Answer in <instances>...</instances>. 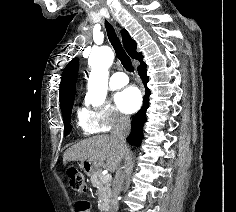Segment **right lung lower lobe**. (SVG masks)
<instances>
[{
	"instance_id": "right-lung-lower-lobe-1",
	"label": "right lung lower lobe",
	"mask_w": 236,
	"mask_h": 212,
	"mask_svg": "<svg viewBox=\"0 0 236 212\" xmlns=\"http://www.w3.org/2000/svg\"><path fill=\"white\" fill-rule=\"evenodd\" d=\"M137 71L141 79L143 80L146 92L144 96L143 106L132 119L131 133L127 137V141L130 144L139 146L143 139V125L146 122V110L149 107V95H150V91L146 87L149 77L147 76L146 64L143 62V59L140 61V65L137 67Z\"/></svg>"
}]
</instances>
